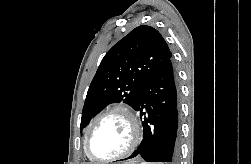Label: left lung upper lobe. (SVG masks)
Masks as SVG:
<instances>
[{"mask_svg": "<svg viewBox=\"0 0 251 164\" xmlns=\"http://www.w3.org/2000/svg\"><path fill=\"white\" fill-rule=\"evenodd\" d=\"M171 57L155 28L133 29L102 59L87 92L80 129L109 103L123 101L135 109L145 84Z\"/></svg>", "mask_w": 251, "mask_h": 164, "instance_id": "obj_1", "label": "left lung upper lobe"}]
</instances>
